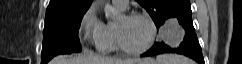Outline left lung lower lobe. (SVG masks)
Masks as SVG:
<instances>
[{
	"mask_svg": "<svg viewBox=\"0 0 242 64\" xmlns=\"http://www.w3.org/2000/svg\"><path fill=\"white\" fill-rule=\"evenodd\" d=\"M178 23L184 28L185 36L178 48H172L164 42H156L152 48L141 57L153 56L163 53H177L188 56L194 59L198 64H205L202 55L201 46L195 34V29L192 24V12L184 11L174 17Z\"/></svg>",
	"mask_w": 242,
	"mask_h": 64,
	"instance_id": "left-lung-lower-lobe-1",
	"label": "left lung lower lobe"
}]
</instances>
